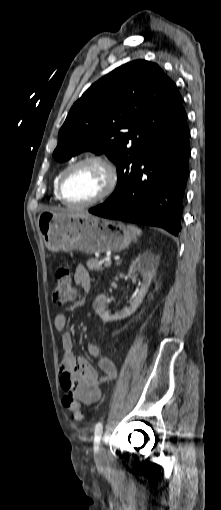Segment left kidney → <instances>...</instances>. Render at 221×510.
<instances>
[{"label": "left kidney", "mask_w": 221, "mask_h": 510, "mask_svg": "<svg viewBox=\"0 0 221 510\" xmlns=\"http://www.w3.org/2000/svg\"><path fill=\"white\" fill-rule=\"evenodd\" d=\"M158 263V257L149 251L138 255V257L132 262L129 268V272L133 275L136 272H139L143 278V281L140 284V290L138 291V294L134 297L130 303V306L124 307L121 312L115 315H110L107 310L109 303L107 297L104 294L98 295L96 297L93 302V308L104 323L124 319L132 315L138 309L148 291Z\"/></svg>", "instance_id": "obj_1"}]
</instances>
